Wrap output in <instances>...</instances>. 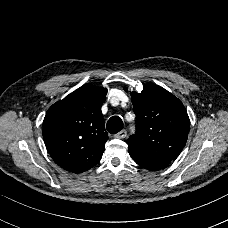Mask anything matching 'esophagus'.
Wrapping results in <instances>:
<instances>
[{
    "label": "esophagus",
    "mask_w": 228,
    "mask_h": 228,
    "mask_svg": "<svg viewBox=\"0 0 228 228\" xmlns=\"http://www.w3.org/2000/svg\"><path fill=\"white\" fill-rule=\"evenodd\" d=\"M127 135V131L125 129L121 130L115 135V138L117 139H124Z\"/></svg>",
    "instance_id": "34e87169"
}]
</instances>
